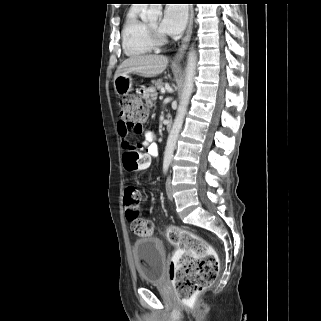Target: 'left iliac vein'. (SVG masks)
<instances>
[{
	"label": "left iliac vein",
	"mask_w": 321,
	"mask_h": 321,
	"mask_svg": "<svg viewBox=\"0 0 321 321\" xmlns=\"http://www.w3.org/2000/svg\"><path fill=\"white\" fill-rule=\"evenodd\" d=\"M166 193H167L168 198L170 200H172L173 199V191H172V185H171V176H169L166 181Z\"/></svg>",
	"instance_id": "left-iliac-vein-1"
}]
</instances>
